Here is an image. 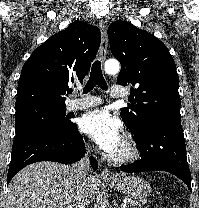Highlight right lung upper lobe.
I'll return each instance as SVG.
<instances>
[{
    "label": "right lung upper lobe",
    "mask_w": 199,
    "mask_h": 208,
    "mask_svg": "<svg viewBox=\"0 0 199 208\" xmlns=\"http://www.w3.org/2000/svg\"><path fill=\"white\" fill-rule=\"evenodd\" d=\"M100 41L97 27L75 21L35 49L21 71L16 110L30 106L66 107L70 87L83 82Z\"/></svg>",
    "instance_id": "obj_1"
}]
</instances>
